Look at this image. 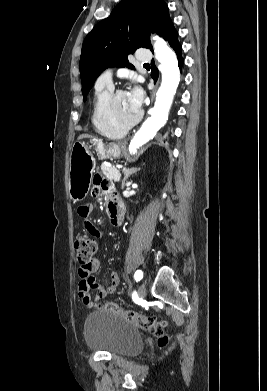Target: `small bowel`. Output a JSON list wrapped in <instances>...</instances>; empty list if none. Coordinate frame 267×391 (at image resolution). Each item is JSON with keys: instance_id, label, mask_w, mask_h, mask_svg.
I'll list each match as a JSON object with an SVG mask.
<instances>
[{"instance_id": "1", "label": "small bowel", "mask_w": 267, "mask_h": 391, "mask_svg": "<svg viewBox=\"0 0 267 391\" xmlns=\"http://www.w3.org/2000/svg\"><path fill=\"white\" fill-rule=\"evenodd\" d=\"M93 194L103 197L107 201L108 212L112 222L118 215L124 216L123 204L116 194L113 184L100 174H96L93 178ZM91 211L92 206L90 204H83L77 210L78 215L83 220L87 233L90 236L99 237L101 235L100 230L89 219ZM99 266V260L93 259L87 267H80L78 270V296L86 307H91L93 304L90 296L91 289L97 290V295L94 300H99L113 294L119 284V276L116 272H112L110 275V284L107 287L101 286L95 277L92 276L99 269Z\"/></svg>"}]
</instances>
